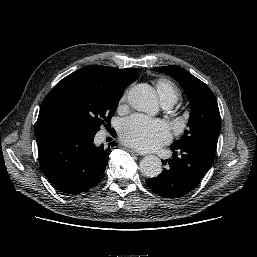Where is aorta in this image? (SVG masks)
Listing matches in <instances>:
<instances>
[{"instance_id":"obj_1","label":"aorta","mask_w":257,"mask_h":257,"mask_svg":"<svg viewBox=\"0 0 257 257\" xmlns=\"http://www.w3.org/2000/svg\"><path fill=\"white\" fill-rule=\"evenodd\" d=\"M129 104L137 111L153 114L158 110L156 94L151 86L138 84L128 93ZM140 171L145 177H157L162 172L161 160L154 155H147L140 162Z\"/></svg>"}]
</instances>
